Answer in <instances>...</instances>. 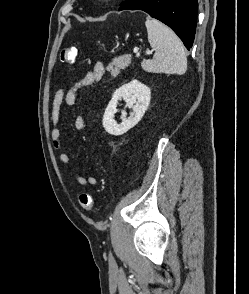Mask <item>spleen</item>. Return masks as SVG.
<instances>
[{
  "mask_svg": "<svg viewBox=\"0 0 249 294\" xmlns=\"http://www.w3.org/2000/svg\"><path fill=\"white\" fill-rule=\"evenodd\" d=\"M145 25L155 54L153 59L142 61V69L151 73L183 75L187 70V58L177 35L156 19L147 18Z\"/></svg>",
  "mask_w": 249,
  "mask_h": 294,
  "instance_id": "spleen-1",
  "label": "spleen"
}]
</instances>
